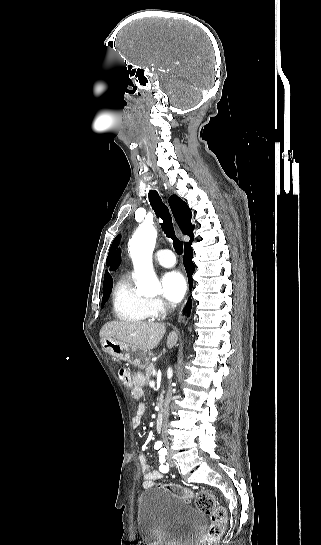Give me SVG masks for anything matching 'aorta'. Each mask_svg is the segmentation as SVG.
I'll return each mask as SVG.
<instances>
[{
	"instance_id": "1",
	"label": "aorta",
	"mask_w": 321,
	"mask_h": 545,
	"mask_svg": "<svg viewBox=\"0 0 321 545\" xmlns=\"http://www.w3.org/2000/svg\"><path fill=\"white\" fill-rule=\"evenodd\" d=\"M157 231L154 226L142 224L129 241V252L137 277V290L141 294L156 295L160 286L152 267V253Z\"/></svg>"
}]
</instances>
